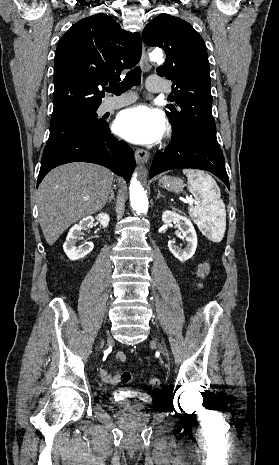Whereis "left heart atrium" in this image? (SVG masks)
<instances>
[{
	"instance_id": "obj_1",
	"label": "left heart atrium",
	"mask_w": 279,
	"mask_h": 465,
	"mask_svg": "<svg viewBox=\"0 0 279 465\" xmlns=\"http://www.w3.org/2000/svg\"><path fill=\"white\" fill-rule=\"evenodd\" d=\"M114 128L124 139L136 144H152L165 133L166 121L162 112L145 105L122 111L116 118Z\"/></svg>"
}]
</instances>
